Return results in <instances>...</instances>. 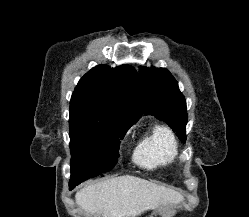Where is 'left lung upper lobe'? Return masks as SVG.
Segmentation results:
<instances>
[{
	"instance_id": "5c2ea615",
	"label": "left lung upper lobe",
	"mask_w": 249,
	"mask_h": 217,
	"mask_svg": "<svg viewBox=\"0 0 249 217\" xmlns=\"http://www.w3.org/2000/svg\"><path fill=\"white\" fill-rule=\"evenodd\" d=\"M138 77L142 84L145 114L166 122L185 143L186 100L179 91L178 82L165 68L141 67Z\"/></svg>"
}]
</instances>
